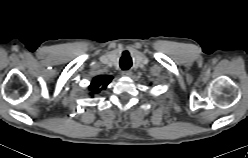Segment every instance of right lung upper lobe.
I'll use <instances>...</instances> for the list:
<instances>
[{"instance_id":"cb5924a9","label":"right lung upper lobe","mask_w":248,"mask_h":158,"mask_svg":"<svg viewBox=\"0 0 248 158\" xmlns=\"http://www.w3.org/2000/svg\"><path fill=\"white\" fill-rule=\"evenodd\" d=\"M111 80H112V76H103V77L98 76L94 78L89 86L91 94H97L101 90L105 89Z\"/></svg>"}]
</instances>
